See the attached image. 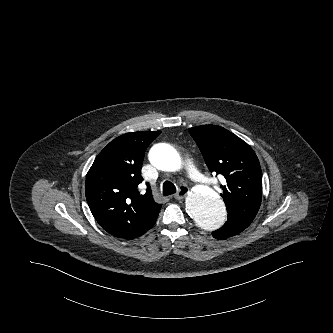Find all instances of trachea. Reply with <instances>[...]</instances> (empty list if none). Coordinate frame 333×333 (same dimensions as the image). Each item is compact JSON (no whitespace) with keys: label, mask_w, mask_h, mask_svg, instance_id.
Returning a JSON list of instances; mask_svg holds the SVG:
<instances>
[{"label":"trachea","mask_w":333,"mask_h":333,"mask_svg":"<svg viewBox=\"0 0 333 333\" xmlns=\"http://www.w3.org/2000/svg\"><path fill=\"white\" fill-rule=\"evenodd\" d=\"M176 192L175 185L170 181H165L163 183V195L168 196Z\"/></svg>","instance_id":"1"}]
</instances>
